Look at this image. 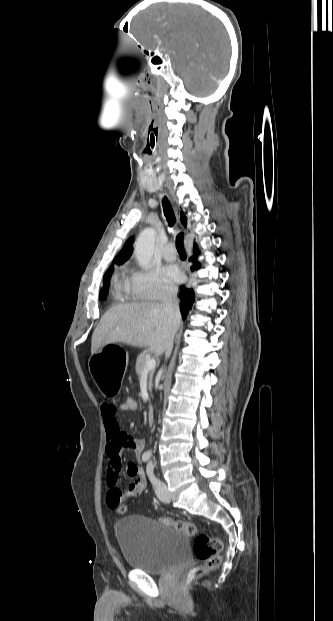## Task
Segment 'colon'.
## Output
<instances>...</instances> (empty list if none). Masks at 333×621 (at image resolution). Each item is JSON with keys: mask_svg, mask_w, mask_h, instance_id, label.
Here are the masks:
<instances>
[{"mask_svg": "<svg viewBox=\"0 0 333 621\" xmlns=\"http://www.w3.org/2000/svg\"><path fill=\"white\" fill-rule=\"evenodd\" d=\"M120 406L123 411L132 413L138 409V402L134 394L129 393L121 396ZM126 509L124 503H119L115 508L120 514H124ZM161 521L195 538L193 544L194 555L201 564L188 572L187 581L189 583L215 571L220 566L223 549V543L220 538L208 533H198L196 525L191 522L174 520L169 517H163Z\"/></svg>", "mask_w": 333, "mask_h": 621, "instance_id": "colon-1", "label": "colon"}]
</instances>
